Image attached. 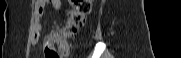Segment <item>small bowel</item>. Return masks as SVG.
<instances>
[{
	"mask_svg": "<svg viewBox=\"0 0 181 58\" xmlns=\"http://www.w3.org/2000/svg\"><path fill=\"white\" fill-rule=\"evenodd\" d=\"M61 0H36L34 5V16H35V25H34V37L33 43H37L40 37L41 25L40 18L43 16L45 12V8L49 5L53 10H58L61 7ZM57 35L56 32L50 33L47 38L55 37Z\"/></svg>",
	"mask_w": 181,
	"mask_h": 58,
	"instance_id": "obj_1",
	"label": "small bowel"
}]
</instances>
